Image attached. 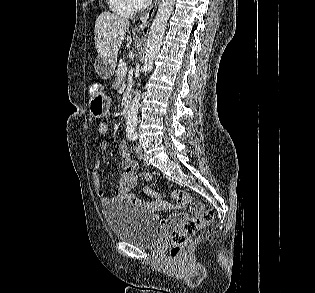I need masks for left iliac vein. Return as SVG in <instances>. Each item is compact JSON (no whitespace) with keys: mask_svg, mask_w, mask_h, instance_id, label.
<instances>
[{"mask_svg":"<svg viewBox=\"0 0 315 293\" xmlns=\"http://www.w3.org/2000/svg\"><path fill=\"white\" fill-rule=\"evenodd\" d=\"M134 150H135V153H136V156L139 158V159H143V145L141 142H137L135 144V147H134Z\"/></svg>","mask_w":315,"mask_h":293,"instance_id":"obj_1","label":"left iliac vein"}]
</instances>
